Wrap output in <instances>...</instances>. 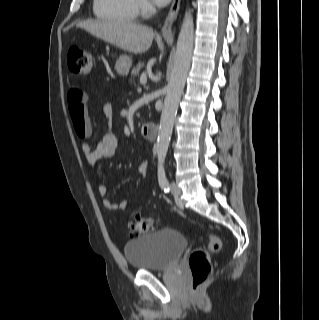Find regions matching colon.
I'll use <instances>...</instances> for the list:
<instances>
[{"mask_svg":"<svg viewBox=\"0 0 319 320\" xmlns=\"http://www.w3.org/2000/svg\"><path fill=\"white\" fill-rule=\"evenodd\" d=\"M69 70L75 75H88L92 69L93 56L90 52L78 47L70 48L67 56ZM74 125V124H73ZM75 132L80 139H85L90 132L83 125H74ZM159 218L156 214L147 217L134 216L128 226L131 236L153 231L159 227ZM208 244L204 248L195 249L189 257V269L192 277V290L197 292L212 272L210 255L219 252L222 247L220 238L213 233H206Z\"/></svg>","mask_w":319,"mask_h":320,"instance_id":"5ec220e1","label":"colon"}]
</instances>
